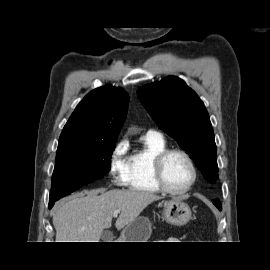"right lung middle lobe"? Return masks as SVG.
Returning a JSON list of instances; mask_svg holds the SVG:
<instances>
[{
	"instance_id": "obj_1",
	"label": "right lung middle lobe",
	"mask_w": 270,
	"mask_h": 270,
	"mask_svg": "<svg viewBox=\"0 0 270 270\" xmlns=\"http://www.w3.org/2000/svg\"><path fill=\"white\" fill-rule=\"evenodd\" d=\"M116 141L59 139L49 201L103 177L110 170Z\"/></svg>"
}]
</instances>
